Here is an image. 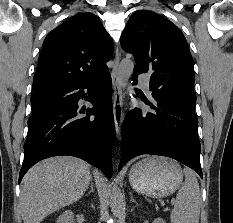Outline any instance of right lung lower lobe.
Wrapping results in <instances>:
<instances>
[{
	"instance_id": "1",
	"label": "right lung lower lobe",
	"mask_w": 233,
	"mask_h": 223,
	"mask_svg": "<svg viewBox=\"0 0 233 223\" xmlns=\"http://www.w3.org/2000/svg\"><path fill=\"white\" fill-rule=\"evenodd\" d=\"M111 86L106 71L92 80L33 91L19 183L35 163L58 155L81 158L111 178L115 137ZM82 97L93 108L80 109L78 101Z\"/></svg>"
}]
</instances>
